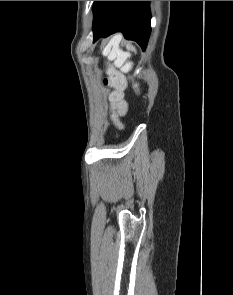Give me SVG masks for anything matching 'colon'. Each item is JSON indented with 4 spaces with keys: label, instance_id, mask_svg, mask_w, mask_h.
Here are the masks:
<instances>
[{
    "label": "colon",
    "instance_id": "1",
    "mask_svg": "<svg viewBox=\"0 0 233 295\" xmlns=\"http://www.w3.org/2000/svg\"><path fill=\"white\" fill-rule=\"evenodd\" d=\"M121 40L118 37H114L109 40L104 49L103 54L108 57L116 66H120L125 62V55L120 49ZM106 85L121 87L123 84L122 79L115 74H112L109 78L105 79Z\"/></svg>",
    "mask_w": 233,
    "mask_h": 295
}]
</instances>
